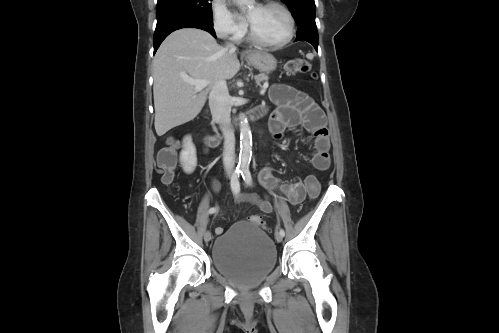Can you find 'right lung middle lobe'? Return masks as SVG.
<instances>
[{
  "instance_id": "obj_1",
  "label": "right lung middle lobe",
  "mask_w": 499,
  "mask_h": 333,
  "mask_svg": "<svg viewBox=\"0 0 499 333\" xmlns=\"http://www.w3.org/2000/svg\"><path fill=\"white\" fill-rule=\"evenodd\" d=\"M212 0H158L157 26L175 20H202L212 22Z\"/></svg>"
}]
</instances>
